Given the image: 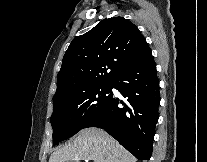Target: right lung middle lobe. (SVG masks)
<instances>
[{
  "label": "right lung middle lobe",
  "mask_w": 207,
  "mask_h": 162,
  "mask_svg": "<svg viewBox=\"0 0 207 162\" xmlns=\"http://www.w3.org/2000/svg\"><path fill=\"white\" fill-rule=\"evenodd\" d=\"M112 84L53 99V142L59 143L83 129L112 98Z\"/></svg>",
  "instance_id": "1"
}]
</instances>
